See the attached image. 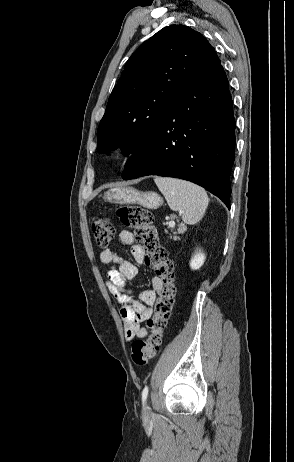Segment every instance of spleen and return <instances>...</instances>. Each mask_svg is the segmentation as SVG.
<instances>
[{"instance_id": "1", "label": "spleen", "mask_w": 294, "mask_h": 462, "mask_svg": "<svg viewBox=\"0 0 294 462\" xmlns=\"http://www.w3.org/2000/svg\"><path fill=\"white\" fill-rule=\"evenodd\" d=\"M154 181L169 207L182 212V220L185 223L196 224L202 219L209 203L208 195L203 188L167 177H156Z\"/></svg>"}]
</instances>
